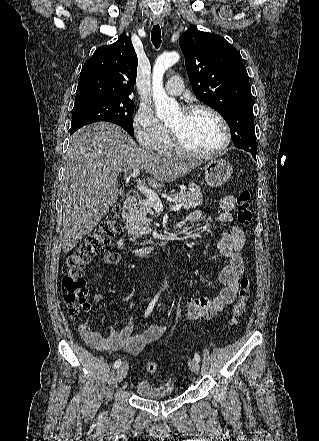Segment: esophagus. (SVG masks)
Masks as SVG:
<instances>
[{"label":"esophagus","mask_w":319,"mask_h":441,"mask_svg":"<svg viewBox=\"0 0 319 441\" xmlns=\"http://www.w3.org/2000/svg\"><path fill=\"white\" fill-rule=\"evenodd\" d=\"M153 21H154V24H159L162 27L164 26L163 18L160 15L155 14L153 16Z\"/></svg>","instance_id":"1"}]
</instances>
